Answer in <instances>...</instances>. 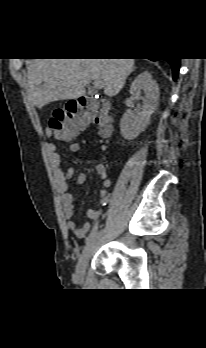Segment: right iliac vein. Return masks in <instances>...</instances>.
Here are the masks:
<instances>
[{
	"label": "right iliac vein",
	"mask_w": 206,
	"mask_h": 348,
	"mask_svg": "<svg viewBox=\"0 0 206 348\" xmlns=\"http://www.w3.org/2000/svg\"><path fill=\"white\" fill-rule=\"evenodd\" d=\"M102 235V231H99L94 236H92L89 241L87 242L86 246L84 247L82 254L78 260L77 266H76V276L78 280H83L85 276L86 266L89 261V258L92 254V251L95 247L96 242L99 240V238Z\"/></svg>",
	"instance_id": "obj_1"
}]
</instances>
